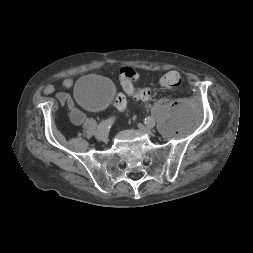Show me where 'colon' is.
<instances>
[{
	"label": "colon",
	"instance_id": "5ec220e1",
	"mask_svg": "<svg viewBox=\"0 0 253 253\" xmlns=\"http://www.w3.org/2000/svg\"><path fill=\"white\" fill-rule=\"evenodd\" d=\"M138 74L131 67H124L120 70V81L126 94L139 101H146L151 97L149 88H135L134 82L137 80ZM160 83L165 88H175L181 83V76L177 71H169L165 73ZM113 105L119 110L124 111L127 107V100L124 94H117L113 99Z\"/></svg>",
	"mask_w": 253,
	"mask_h": 253
}]
</instances>
